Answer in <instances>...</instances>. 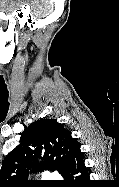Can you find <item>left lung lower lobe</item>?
<instances>
[{"label":"left lung lower lobe","instance_id":"1","mask_svg":"<svg viewBox=\"0 0 119 187\" xmlns=\"http://www.w3.org/2000/svg\"><path fill=\"white\" fill-rule=\"evenodd\" d=\"M62 175L71 180V182H85L89 179V173L84 164L79 144L73 147L68 166Z\"/></svg>","mask_w":119,"mask_h":187}]
</instances>
